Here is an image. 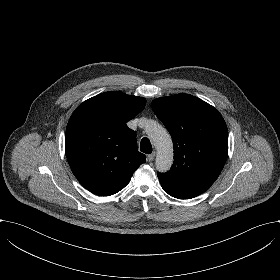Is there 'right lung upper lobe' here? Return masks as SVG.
Segmentation results:
<instances>
[{
    "label": "right lung upper lobe",
    "mask_w": 280,
    "mask_h": 280,
    "mask_svg": "<svg viewBox=\"0 0 280 280\" xmlns=\"http://www.w3.org/2000/svg\"><path fill=\"white\" fill-rule=\"evenodd\" d=\"M145 104L143 97L105 92L84 101L71 115L66 157L75 177L90 192L117 193L146 162L137 149L136 133L126 125Z\"/></svg>",
    "instance_id": "obj_1"
}]
</instances>
